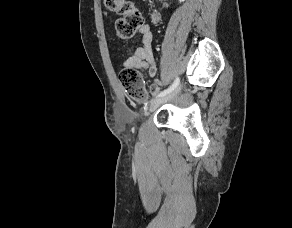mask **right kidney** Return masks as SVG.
I'll use <instances>...</instances> for the list:
<instances>
[{
    "mask_svg": "<svg viewBox=\"0 0 292 228\" xmlns=\"http://www.w3.org/2000/svg\"><path fill=\"white\" fill-rule=\"evenodd\" d=\"M184 0H179V2H183ZM166 6H168V5H166Z\"/></svg>",
    "mask_w": 292,
    "mask_h": 228,
    "instance_id": "ca27d5eb",
    "label": "right kidney"
}]
</instances>
